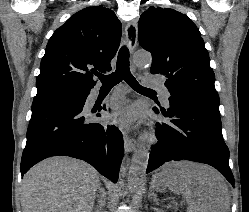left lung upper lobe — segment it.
<instances>
[{
    "label": "left lung upper lobe",
    "instance_id": "5c2ea615",
    "mask_svg": "<svg viewBox=\"0 0 249 212\" xmlns=\"http://www.w3.org/2000/svg\"><path fill=\"white\" fill-rule=\"evenodd\" d=\"M139 43L153 55L151 73L164 75L171 96L219 105L209 55L196 25L169 8L149 7L139 19Z\"/></svg>",
    "mask_w": 249,
    "mask_h": 212
}]
</instances>
